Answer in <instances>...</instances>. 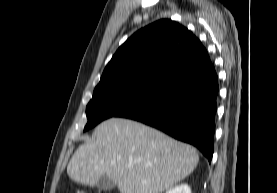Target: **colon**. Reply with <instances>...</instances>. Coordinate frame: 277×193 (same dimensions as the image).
I'll use <instances>...</instances> for the list:
<instances>
[{
	"mask_svg": "<svg viewBox=\"0 0 277 193\" xmlns=\"http://www.w3.org/2000/svg\"><path fill=\"white\" fill-rule=\"evenodd\" d=\"M76 193H87V192L83 190H79V191H76Z\"/></svg>",
	"mask_w": 277,
	"mask_h": 193,
	"instance_id": "colon-1",
	"label": "colon"
}]
</instances>
